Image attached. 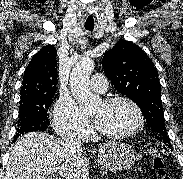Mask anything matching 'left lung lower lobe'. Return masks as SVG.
Returning <instances> with one entry per match:
<instances>
[{
	"label": "left lung lower lobe",
	"mask_w": 183,
	"mask_h": 179,
	"mask_svg": "<svg viewBox=\"0 0 183 179\" xmlns=\"http://www.w3.org/2000/svg\"><path fill=\"white\" fill-rule=\"evenodd\" d=\"M166 144V143H165ZM166 145H168L169 147L171 146L170 144H166Z\"/></svg>",
	"instance_id": "1"
}]
</instances>
